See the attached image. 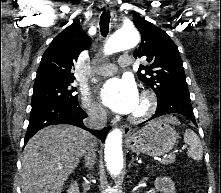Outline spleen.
Returning a JSON list of instances; mask_svg holds the SVG:
<instances>
[{
    "label": "spleen",
    "mask_w": 221,
    "mask_h": 193,
    "mask_svg": "<svg viewBox=\"0 0 221 193\" xmlns=\"http://www.w3.org/2000/svg\"><path fill=\"white\" fill-rule=\"evenodd\" d=\"M184 142L190 146L188 150V156L196 161L202 160L203 150L201 146V142L197 134L190 130L186 129L184 134Z\"/></svg>",
    "instance_id": "1"
}]
</instances>
